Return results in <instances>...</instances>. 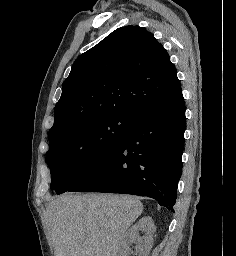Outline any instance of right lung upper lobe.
<instances>
[{"mask_svg": "<svg viewBox=\"0 0 236 256\" xmlns=\"http://www.w3.org/2000/svg\"><path fill=\"white\" fill-rule=\"evenodd\" d=\"M180 88L175 66L152 33L118 28L74 62L49 135L109 116L137 119Z\"/></svg>", "mask_w": 236, "mask_h": 256, "instance_id": "obj_1", "label": "right lung upper lobe"}]
</instances>
